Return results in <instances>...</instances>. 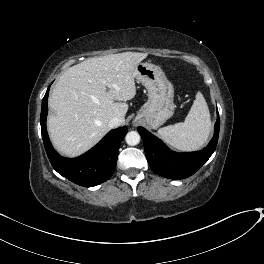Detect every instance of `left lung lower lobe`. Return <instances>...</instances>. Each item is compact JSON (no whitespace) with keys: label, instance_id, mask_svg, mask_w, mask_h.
<instances>
[{"label":"left lung lower lobe","instance_id":"1","mask_svg":"<svg viewBox=\"0 0 264 264\" xmlns=\"http://www.w3.org/2000/svg\"><path fill=\"white\" fill-rule=\"evenodd\" d=\"M137 130L142 137L145 154L152 170L169 179H184L197 172L213 154L219 136V115H217L212 140L198 152L176 153L170 151L160 139L146 129L138 127Z\"/></svg>","mask_w":264,"mask_h":264}]
</instances>
